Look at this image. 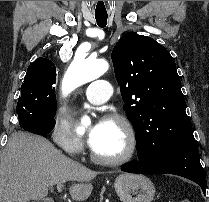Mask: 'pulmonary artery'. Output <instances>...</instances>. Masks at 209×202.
<instances>
[{
  "label": "pulmonary artery",
  "instance_id": "e3ab8cb5",
  "mask_svg": "<svg viewBox=\"0 0 209 202\" xmlns=\"http://www.w3.org/2000/svg\"><path fill=\"white\" fill-rule=\"evenodd\" d=\"M113 85L105 80H94L85 89L87 100L94 105L103 104L110 96Z\"/></svg>",
  "mask_w": 209,
  "mask_h": 202
}]
</instances>
